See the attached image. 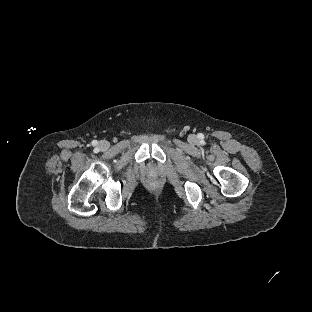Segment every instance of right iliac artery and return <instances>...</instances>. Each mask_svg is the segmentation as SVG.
<instances>
[{"instance_id": "1", "label": "right iliac artery", "mask_w": 312, "mask_h": 312, "mask_svg": "<svg viewBox=\"0 0 312 312\" xmlns=\"http://www.w3.org/2000/svg\"><path fill=\"white\" fill-rule=\"evenodd\" d=\"M97 142L95 141L93 144L95 145Z\"/></svg>"}]
</instances>
